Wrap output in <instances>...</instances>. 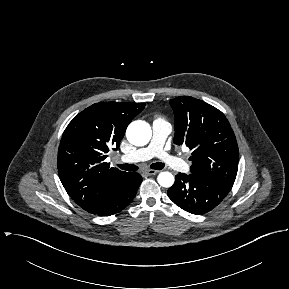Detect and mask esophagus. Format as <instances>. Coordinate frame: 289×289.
<instances>
[{"mask_svg":"<svg viewBox=\"0 0 289 289\" xmlns=\"http://www.w3.org/2000/svg\"><path fill=\"white\" fill-rule=\"evenodd\" d=\"M158 172H159V171L153 170V169H147V170H145V174H146V175H149V176L156 175Z\"/></svg>","mask_w":289,"mask_h":289,"instance_id":"1","label":"esophagus"}]
</instances>
